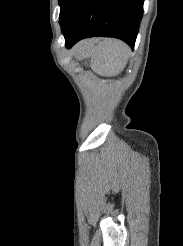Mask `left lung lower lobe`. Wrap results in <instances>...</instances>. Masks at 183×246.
Listing matches in <instances>:
<instances>
[{"label":"left lung lower lobe","mask_w":183,"mask_h":246,"mask_svg":"<svg viewBox=\"0 0 183 246\" xmlns=\"http://www.w3.org/2000/svg\"><path fill=\"white\" fill-rule=\"evenodd\" d=\"M144 0H73L61 30L70 49L79 40L115 37L134 47Z\"/></svg>","instance_id":"1"}]
</instances>
